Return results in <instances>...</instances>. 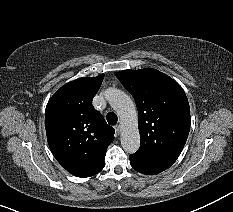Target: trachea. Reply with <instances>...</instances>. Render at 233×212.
Here are the masks:
<instances>
[{"instance_id": "3493384b", "label": "trachea", "mask_w": 233, "mask_h": 212, "mask_svg": "<svg viewBox=\"0 0 233 212\" xmlns=\"http://www.w3.org/2000/svg\"><path fill=\"white\" fill-rule=\"evenodd\" d=\"M106 119L110 125H115L118 121L117 115L113 112H109L106 116Z\"/></svg>"}]
</instances>
